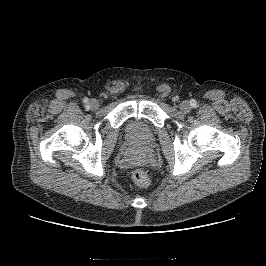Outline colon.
<instances>
[{"mask_svg": "<svg viewBox=\"0 0 266 266\" xmlns=\"http://www.w3.org/2000/svg\"><path fill=\"white\" fill-rule=\"evenodd\" d=\"M131 177L133 182L141 188H145L150 184L149 176L144 169H134L131 173Z\"/></svg>", "mask_w": 266, "mask_h": 266, "instance_id": "colon-1", "label": "colon"}]
</instances>
